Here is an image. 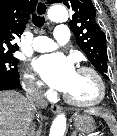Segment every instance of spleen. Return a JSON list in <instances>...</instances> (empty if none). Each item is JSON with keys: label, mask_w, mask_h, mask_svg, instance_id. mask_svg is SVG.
I'll return each mask as SVG.
<instances>
[{"label": "spleen", "mask_w": 117, "mask_h": 136, "mask_svg": "<svg viewBox=\"0 0 117 136\" xmlns=\"http://www.w3.org/2000/svg\"><path fill=\"white\" fill-rule=\"evenodd\" d=\"M87 112L91 115H100L106 121L113 135L117 136V121L113 115L108 112H101L95 108H90Z\"/></svg>", "instance_id": "1"}]
</instances>
